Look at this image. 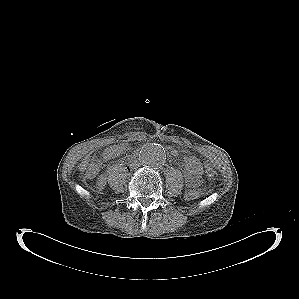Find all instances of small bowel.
Returning <instances> with one entry per match:
<instances>
[{
  "instance_id": "c3829d8e",
  "label": "small bowel",
  "mask_w": 299,
  "mask_h": 299,
  "mask_svg": "<svg viewBox=\"0 0 299 299\" xmlns=\"http://www.w3.org/2000/svg\"><path fill=\"white\" fill-rule=\"evenodd\" d=\"M128 149L124 146L113 145L108 147L103 156L105 159H114L122 154H124ZM185 181L189 187H196L199 185L201 181V175L194 174L193 172L189 171L185 168L184 170Z\"/></svg>"
}]
</instances>
